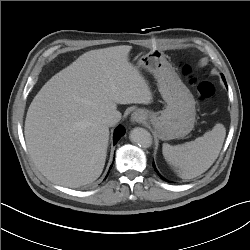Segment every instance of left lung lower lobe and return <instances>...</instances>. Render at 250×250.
Here are the masks:
<instances>
[{
  "mask_svg": "<svg viewBox=\"0 0 250 250\" xmlns=\"http://www.w3.org/2000/svg\"><path fill=\"white\" fill-rule=\"evenodd\" d=\"M222 78H223V81L225 82V84H226V81H225V78H224V76L222 75ZM153 167H154V169L156 170V168H155V165L153 164ZM156 172H157V170H156ZM158 173V172H157ZM159 174V173H158ZM161 178H163V177H161ZM164 179V178H163Z\"/></svg>",
  "mask_w": 250,
  "mask_h": 250,
  "instance_id": "left-lung-lower-lobe-1",
  "label": "left lung lower lobe"
}]
</instances>
